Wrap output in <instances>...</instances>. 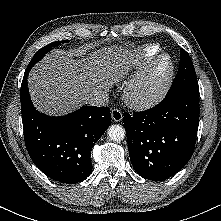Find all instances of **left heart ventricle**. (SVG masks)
Listing matches in <instances>:
<instances>
[{
	"instance_id": "obj_1",
	"label": "left heart ventricle",
	"mask_w": 221,
	"mask_h": 221,
	"mask_svg": "<svg viewBox=\"0 0 221 221\" xmlns=\"http://www.w3.org/2000/svg\"><path fill=\"white\" fill-rule=\"evenodd\" d=\"M168 61L162 60L155 68L154 72L152 73L147 85L144 88L145 93H150L154 91L164 80L167 71H168Z\"/></svg>"
}]
</instances>
